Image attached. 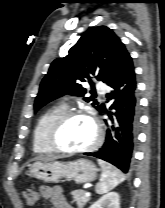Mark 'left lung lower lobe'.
<instances>
[{
	"label": "left lung lower lobe",
	"instance_id": "1",
	"mask_svg": "<svg viewBox=\"0 0 165 208\" xmlns=\"http://www.w3.org/2000/svg\"><path fill=\"white\" fill-rule=\"evenodd\" d=\"M110 87L107 101L112 112L103 106L98 111L106 112L111 120L102 148L85 155L105 160L124 173L131 170L134 145L139 126V104L133 62L128 55L113 77L106 83Z\"/></svg>",
	"mask_w": 165,
	"mask_h": 208
}]
</instances>
